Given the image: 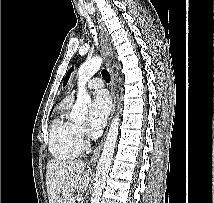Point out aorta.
I'll use <instances>...</instances> for the list:
<instances>
[{
    "mask_svg": "<svg viewBox=\"0 0 214 203\" xmlns=\"http://www.w3.org/2000/svg\"><path fill=\"white\" fill-rule=\"evenodd\" d=\"M103 59L101 57H93L83 63L78 69V94L76 104L73 106L70 113V118L73 121H82L88 112V104L91 101L90 96L86 92V84L89 79L100 69ZM119 114L112 120L110 125L104 148L99 158L96 168V177L94 190L90 203H100L102 191L106 184V179L111 167L115 143L118 136Z\"/></svg>",
    "mask_w": 214,
    "mask_h": 203,
    "instance_id": "762f6f07",
    "label": "aorta"
}]
</instances>
